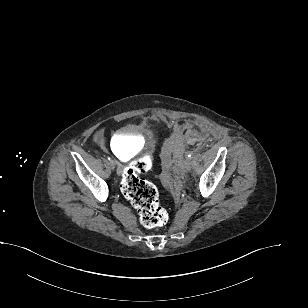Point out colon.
<instances>
[{"instance_id": "5ec220e1", "label": "colon", "mask_w": 308, "mask_h": 308, "mask_svg": "<svg viewBox=\"0 0 308 308\" xmlns=\"http://www.w3.org/2000/svg\"><path fill=\"white\" fill-rule=\"evenodd\" d=\"M151 166L152 159L147 154L128 165L121 180L122 193L137 210L141 224L148 229L161 227L168 219L167 212L159 204L156 187L140 176Z\"/></svg>"}]
</instances>
